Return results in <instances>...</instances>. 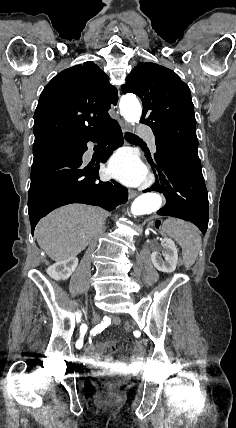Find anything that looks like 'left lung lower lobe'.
<instances>
[{
  "instance_id": "0a47b994",
  "label": "left lung lower lobe",
  "mask_w": 236,
  "mask_h": 428,
  "mask_svg": "<svg viewBox=\"0 0 236 428\" xmlns=\"http://www.w3.org/2000/svg\"><path fill=\"white\" fill-rule=\"evenodd\" d=\"M166 149L158 152L155 160L159 176L148 191L162 193L167 203L157 211L158 215L172 216L194 223L203 234L209 220L208 193L201 170L199 157L179 151L169 143Z\"/></svg>"
}]
</instances>
